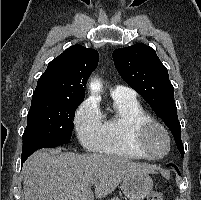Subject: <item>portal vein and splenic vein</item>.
I'll return each mask as SVG.
<instances>
[{
	"instance_id": "portal-vein-and-splenic-vein-1",
	"label": "portal vein and splenic vein",
	"mask_w": 201,
	"mask_h": 200,
	"mask_svg": "<svg viewBox=\"0 0 201 200\" xmlns=\"http://www.w3.org/2000/svg\"><path fill=\"white\" fill-rule=\"evenodd\" d=\"M96 184V182L95 181H93L92 183H91V185H95Z\"/></svg>"
}]
</instances>
